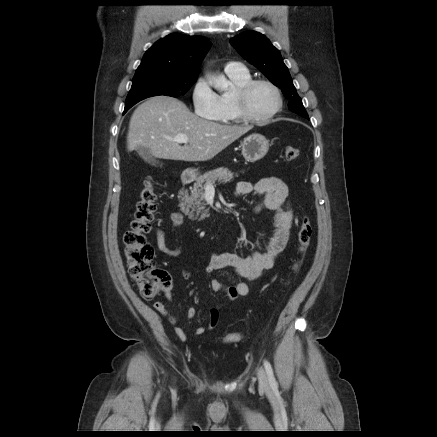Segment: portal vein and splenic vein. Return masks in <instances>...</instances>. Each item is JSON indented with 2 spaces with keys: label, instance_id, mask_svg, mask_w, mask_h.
Here are the masks:
<instances>
[{
  "label": "portal vein and splenic vein",
  "instance_id": "obj_1",
  "mask_svg": "<svg viewBox=\"0 0 437 437\" xmlns=\"http://www.w3.org/2000/svg\"><path fill=\"white\" fill-rule=\"evenodd\" d=\"M173 140L176 141L177 143H180V144H182V143L186 144L189 141L188 137L186 135H183V134H178L177 136H175V138ZM206 190H208V191L214 190V186L212 184H208L206 186Z\"/></svg>",
  "mask_w": 437,
  "mask_h": 437
}]
</instances>
